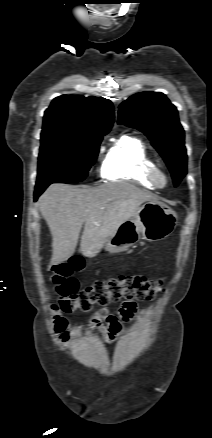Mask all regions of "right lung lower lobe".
<instances>
[{
  "label": "right lung lower lobe",
  "mask_w": 212,
  "mask_h": 438,
  "mask_svg": "<svg viewBox=\"0 0 212 438\" xmlns=\"http://www.w3.org/2000/svg\"><path fill=\"white\" fill-rule=\"evenodd\" d=\"M49 184L44 185H36L35 187V193H34V200L36 201L38 197L43 193V191L48 187Z\"/></svg>",
  "instance_id": "obj_1"
}]
</instances>
